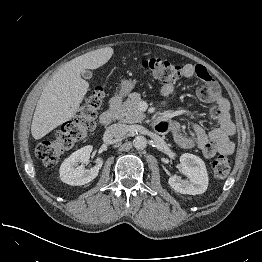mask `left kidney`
Segmentation results:
<instances>
[{
  "instance_id": "obj_1",
  "label": "left kidney",
  "mask_w": 262,
  "mask_h": 262,
  "mask_svg": "<svg viewBox=\"0 0 262 262\" xmlns=\"http://www.w3.org/2000/svg\"><path fill=\"white\" fill-rule=\"evenodd\" d=\"M181 173L187 177L170 176L168 183L174 191L181 194L198 195L207 190L208 173L204 161L196 155L185 153L180 157Z\"/></svg>"
}]
</instances>
